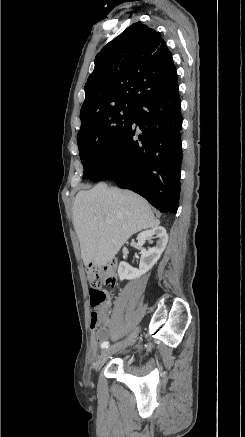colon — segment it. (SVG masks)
<instances>
[{
	"label": "colon",
	"mask_w": 245,
	"mask_h": 437,
	"mask_svg": "<svg viewBox=\"0 0 245 437\" xmlns=\"http://www.w3.org/2000/svg\"><path fill=\"white\" fill-rule=\"evenodd\" d=\"M89 282L91 285L89 290L90 304L94 308L91 313V319L95 325L93 334L96 338H101L106 333L104 327H98V323L102 320L104 315L103 309L107 300V294L104 288L116 284V262L113 261L98 269L92 270L89 273Z\"/></svg>",
	"instance_id": "obj_1"
}]
</instances>
